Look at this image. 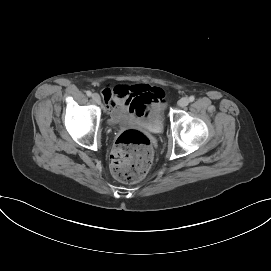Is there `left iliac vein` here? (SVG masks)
Here are the masks:
<instances>
[{
    "label": "left iliac vein",
    "instance_id": "4c4485c4",
    "mask_svg": "<svg viewBox=\"0 0 271 271\" xmlns=\"http://www.w3.org/2000/svg\"><path fill=\"white\" fill-rule=\"evenodd\" d=\"M189 104V99L187 97H183L178 101V105L180 107H186Z\"/></svg>",
    "mask_w": 271,
    "mask_h": 271
}]
</instances>
